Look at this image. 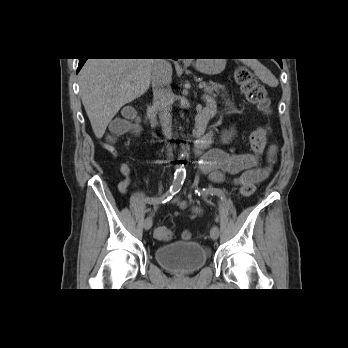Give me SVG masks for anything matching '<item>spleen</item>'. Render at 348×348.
<instances>
[{
  "label": "spleen",
  "mask_w": 348,
  "mask_h": 348,
  "mask_svg": "<svg viewBox=\"0 0 348 348\" xmlns=\"http://www.w3.org/2000/svg\"><path fill=\"white\" fill-rule=\"evenodd\" d=\"M242 62L249 66L263 83L270 87L278 86V80L275 76L257 59H243Z\"/></svg>",
  "instance_id": "1"
}]
</instances>
